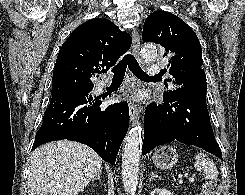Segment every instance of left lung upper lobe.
Listing matches in <instances>:
<instances>
[{"label":"left lung upper lobe","mask_w":245,"mask_h":195,"mask_svg":"<svg viewBox=\"0 0 245 195\" xmlns=\"http://www.w3.org/2000/svg\"><path fill=\"white\" fill-rule=\"evenodd\" d=\"M142 38L163 46L166 50L164 56L173 54L168 65L169 74L173 77L170 80L179 88L164 92V97L170 100L195 97L206 102L202 49L195 32L176 15L155 11L144 23Z\"/></svg>","instance_id":"1"}]
</instances>
